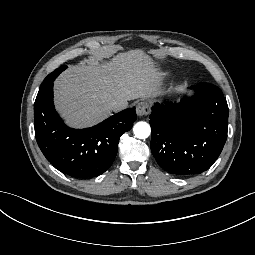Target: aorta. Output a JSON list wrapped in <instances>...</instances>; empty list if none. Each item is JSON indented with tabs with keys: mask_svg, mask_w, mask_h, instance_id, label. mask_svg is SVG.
<instances>
[{
	"mask_svg": "<svg viewBox=\"0 0 255 255\" xmlns=\"http://www.w3.org/2000/svg\"><path fill=\"white\" fill-rule=\"evenodd\" d=\"M135 137L139 139L147 138L151 133L150 125L146 122H138L133 127Z\"/></svg>",
	"mask_w": 255,
	"mask_h": 255,
	"instance_id": "aorta-1",
	"label": "aorta"
}]
</instances>
